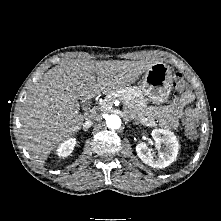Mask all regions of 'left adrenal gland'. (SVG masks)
Returning a JSON list of instances; mask_svg holds the SVG:
<instances>
[{"label":"left adrenal gland","mask_w":221,"mask_h":221,"mask_svg":"<svg viewBox=\"0 0 221 221\" xmlns=\"http://www.w3.org/2000/svg\"><path fill=\"white\" fill-rule=\"evenodd\" d=\"M133 124H134V125H139V124H138V123H136V122H135V123H133Z\"/></svg>","instance_id":"a2214340"}]
</instances>
